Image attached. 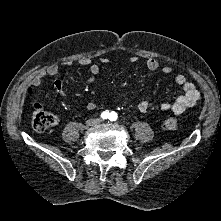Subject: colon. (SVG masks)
I'll return each mask as SVG.
<instances>
[{
	"mask_svg": "<svg viewBox=\"0 0 221 221\" xmlns=\"http://www.w3.org/2000/svg\"><path fill=\"white\" fill-rule=\"evenodd\" d=\"M57 117L53 114L47 113L42 110L41 107H36L33 113L32 126L34 130L43 132L48 128L55 125ZM179 127V121L175 117L166 118L163 122V128L168 131L177 130Z\"/></svg>",
	"mask_w": 221,
	"mask_h": 221,
	"instance_id": "1",
	"label": "colon"
}]
</instances>
